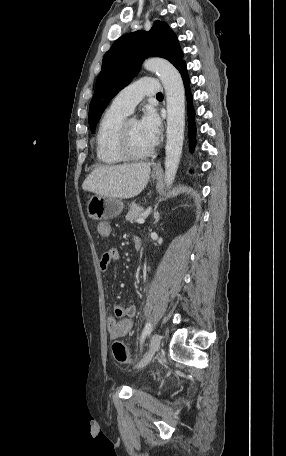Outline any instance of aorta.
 <instances>
[{
	"mask_svg": "<svg viewBox=\"0 0 286 456\" xmlns=\"http://www.w3.org/2000/svg\"><path fill=\"white\" fill-rule=\"evenodd\" d=\"M144 69L156 72L164 86L167 101V131L165 147V183L171 186L180 163L185 126V90L179 71L167 60L148 59Z\"/></svg>",
	"mask_w": 286,
	"mask_h": 456,
	"instance_id": "aorta-1",
	"label": "aorta"
}]
</instances>
